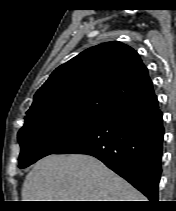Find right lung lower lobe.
I'll return each instance as SVG.
<instances>
[{"label": "right lung lower lobe", "mask_w": 176, "mask_h": 211, "mask_svg": "<svg viewBox=\"0 0 176 211\" xmlns=\"http://www.w3.org/2000/svg\"><path fill=\"white\" fill-rule=\"evenodd\" d=\"M163 120L155 96L107 115L98 125L55 154L92 155L130 182L150 201H158L163 151Z\"/></svg>", "instance_id": "obj_1"}]
</instances>
